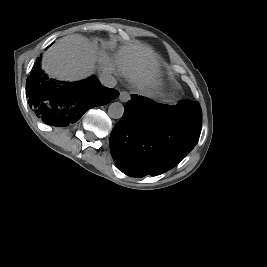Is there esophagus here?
<instances>
[{"label": "esophagus", "mask_w": 267, "mask_h": 267, "mask_svg": "<svg viewBox=\"0 0 267 267\" xmlns=\"http://www.w3.org/2000/svg\"><path fill=\"white\" fill-rule=\"evenodd\" d=\"M119 100L121 102H127L130 100V94L127 91H121L119 95Z\"/></svg>", "instance_id": "1"}]
</instances>
